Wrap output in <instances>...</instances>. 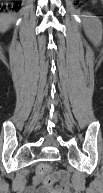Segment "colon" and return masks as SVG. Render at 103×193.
Returning <instances> with one entry per match:
<instances>
[{
    "mask_svg": "<svg viewBox=\"0 0 103 193\" xmlns=\"http://www.w3.org/2000/svg\"><path fill=\"white\" fill-rule=\"evenodd\" d=\"M36 173L47 187H52L62 174L53 175L52 169L48 164H40L36 169Z\"/></svg>",
    "mask_w": 103,
    "mask_h": 193,
    "instance_id": "1",
    "label": "colon"
}]
</instances>
